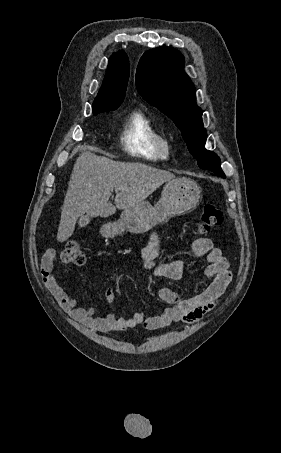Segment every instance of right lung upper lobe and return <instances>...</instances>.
I'll return each mask as SVG.
<instances>
[{"label":"right lung upper lobe","mask_w":281,"mask_h":453,"mask_svg":"<svg viewBox=\"0 0 281 453\" xmlns=\"http://www.w3.org/2000/svg\"><path fill=\"white\" fill-rule=\"evenodd\" d=\"M129 78V60L124 51L114 53L109 61L102 87L95 98L93 114L117 109L124 100Z\"/></svg>","instance_id":"right-lung-upper-lobe-1"}]
</instances>
